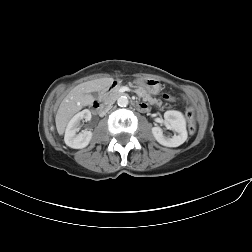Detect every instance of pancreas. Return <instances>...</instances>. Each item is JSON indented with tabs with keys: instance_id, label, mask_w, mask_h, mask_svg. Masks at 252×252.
<instances>
[{
	"instance_id": "obj_1",
	"label": "pancreas",
	"mask_w": 252,
	"mask_h": 252,
	"mask_svg": "<svg viewBox=\"0 0 252 252\" xmlns=\"http://www.w3.org/2000/svg\"><path fill=\"white\" fill-rule=\"evenodd\" d=\"M128 87L134 86V88L136 89V92L149 104H156L157 106H161V102L157 99H153L149 93H147L143 88L139 87L138 83H131L128 82L127 83ZM118 94L117 91H114L110 97H113L114 95Z\"/></svg>"
}]
</instances>
